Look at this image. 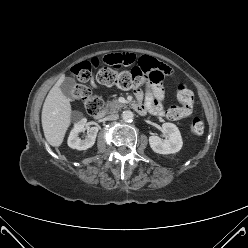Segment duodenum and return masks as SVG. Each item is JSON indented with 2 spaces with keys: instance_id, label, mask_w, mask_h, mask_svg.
<instances>
[{
  "instance_id": "obj_1",
  "label": "duodenum",
  "mask_w": 248,
  "mask_h": 248,
  "mask_svg": "<svg viewBox=\"0 0 248 248\" xmlns=\"http://www.w3.org/2000/svg\"><path fill=\"white\" fill-rule=\"evenodd\" d=\"M133 108L135 109V111L139 114H143L144 113V109L142 108L141 105L139 104H135L133 106ZM105 113L104 111L100 110L99 112H97L96 114H94V118L95 119H102L104 117Z\"/></svg>"
}]
</instances>
